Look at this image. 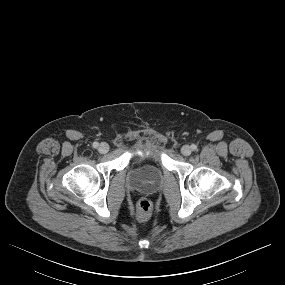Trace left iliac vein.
<instances>
[{
  "label": "left iliac vein",
  "instance_id": "1",
  "mask_svg": "<svg viewBox=\"0 0 285 285\" xmlns=\"http://www.w3.org/2000/svg\"><path fill=\"white\" fill-rule=\"evenodd\" d=\"M192 150H191V147L188 146V145H184L182 148H181V153L184 155V156H189L191 154Z\"/></svg>",
  "mask_w": 285,
  "mask_h": 285
}]
</instances>
